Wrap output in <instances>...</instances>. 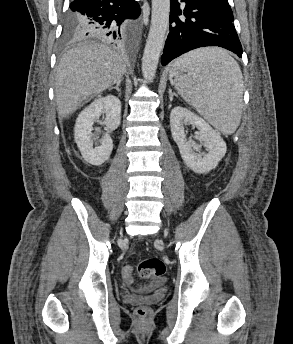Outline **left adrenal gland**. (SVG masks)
I'll return each instance as SVG.
<instances>
[{
	"label": "left adrenal gland",
	"instance_id": "1",
	"mask_svg": "<svg viewBox=\"0 0 293 344\" xmlns=\"http://www.w3.org/2000/svg\"><path fill=\"white\" fill-rule=\"evenodd\" d=\"M176 96L177 97V94L176 93H173L171 89H169V99L170 101H173V97Z\"/></svg>",
	"mask_w": 293,
	"mask_h": 344
}]
</instances>
